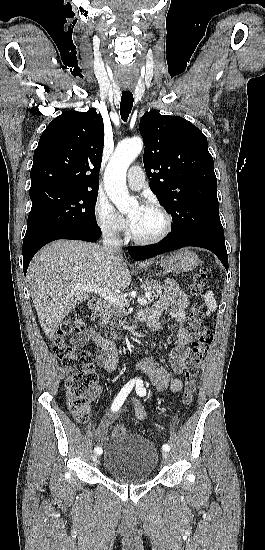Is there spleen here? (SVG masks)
<instances>
[{"label": "spleen", "mask_w": 265, "mask_h": 550, "mask_svg": "<svg viewBox=\"0 0 265 550\" xmlns=\"http://www.w3.org/2000/svg\"><path fill=\"white\" fill-rule=\"evenodd\" d=\"M204 299H205V303H206L207 308H208V311H207L206 314L210 315V313L215 311L216 308H217L216 300L214 298V294L212 293V291H208L205 294Z\"/></svg>", "instance_id": "1"}]
</instances>
